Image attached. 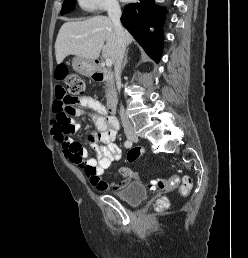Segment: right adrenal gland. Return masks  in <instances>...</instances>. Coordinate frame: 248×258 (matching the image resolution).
Returning <instances> with one entry per match:
<instances>
[{
    "label": "right adrenal gland",
    "mask_w": 248,
    "mask_h": 258,
    "mask_svg": "<svg viewBox=\"0 0 248 258\" xmlns=\"http://www.w3.org/2000/svg\"><path fill=\"white\" fill-rule=\"evenodd\" d=\"M127 61H128V49L126 50V53H125L124 61H123V64H122V70H124V68L127 64Z\"/></svg>",
    "instance_id": "1"
}]
</instances>
